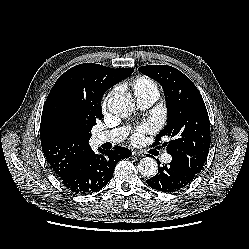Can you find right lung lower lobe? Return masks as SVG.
I'll list each match as a JSON object with an SVG mask.
<instances>
[{
  "label": "right lung lower lobe",
  "mask_w": 249,
  "mask_h": 249,
  "mask_svg": "<svg viewBox=\"0 0 249 249\" xmlns=\"http://www.w3.org/2000/svg\"><path fill=\"white\" fill-rule=\"evenodd\" d=\"M95 154L90 148L86 154L61 177L63 184L72 192L87 194L102 189L111 179L117 162L128 158L132 152L123 147Z\"/></svg>",
  "instance_id": "1"
}]
</instances>
